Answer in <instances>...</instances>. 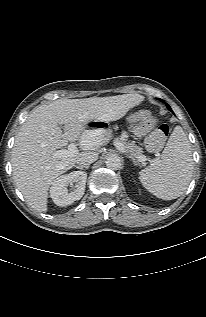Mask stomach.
Wrapping results in <instances>:
<instances>
[{"mask_svg":"<svg viewBox=\"0 0 206 317\" xmlns=\"http://www.w3.org/2000/svg\"><path fill=\"white\" fill-rule=\"evenodd\" d=\"M147 126H141L133 113L127 114L123 119L124 129L132 133L128 137V142L139 148L143 144L144 133L147 131ZM113 128L107 120L90 121L82 132V143L86 147H95L100 141H109L113 137Z\"/></svg>","mask_w":206,"mask_h":317,"instance_id":"1","label":"stomach"}]
</instances>
